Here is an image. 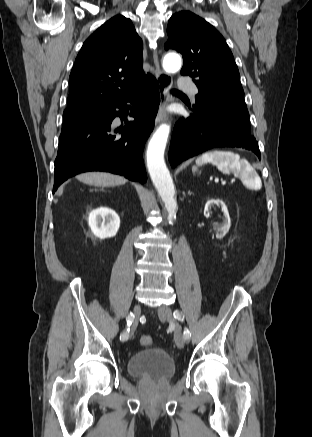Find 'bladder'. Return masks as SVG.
<instances>
[{"label":"bladder","mask_w":312,"mask_h":437,"mask_svg":"<svg viewBox=\"0 0 312 437\" xmlns=\"http://www.w3.org/2000/svg\"><path fill=\"white\" fill-rule=\"evenodd\" d=\"M128 374L135 378L166 380L176 372L173 358L160 347L142 349L127 361Z\"/></svg>","instance_id":"1"}]
</instances>
